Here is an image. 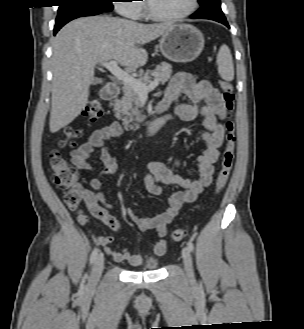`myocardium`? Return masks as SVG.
Listing matches in <instances>:
<instances>
[{"label":"myocardium","mask_w":304,"mask_h":329,"mask_svg":"<svg viewBox=\"0 0 304 329\" xmlns=\"http://www.w3.org/2000/svg\"><path fill=\"white\" fill-rule=\"evenodd\" d=\"M197 7H198V0H191L190 7L186 11L175 15H161L153 11L149 3V0H145V10L147 16L150 19H153L155 21H161V22H173V21L184 19L192 15L197 10Z\"/></svg>","instance_id":"myocardium-1"}]
</instances>
